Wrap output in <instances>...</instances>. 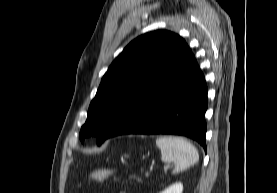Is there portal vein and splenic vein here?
<instances>
[{
  "label": "portal vein and splenic vein",
  "instance_id": "1",
  "mask_svg": "<svg viewBox=\"0 0 277 193\" xmlns=\"http://www.w3.org/2000/svg\"><path fill=\"white\" fill-rule=\"evenodd\" d=\"M170 168V165L168 164V165H166V166H164V170H168Z\"/></svg>",
  "mask_w": 277,
  "mask_h": 193
}]
</instances>
